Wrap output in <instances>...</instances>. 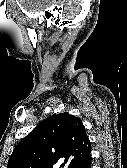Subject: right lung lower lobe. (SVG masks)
Returning a JSON list of instances; mask_svg holds the SVG:
<instances>
[{
  "label": "right lung lower lobe",
  "instance_id": "right-lung-lower-lobe-1",
  "mask_svg": "<svg viewBox=\"0 0 127 168\" xmlns=\"http://www.w3.org/2000/svg\"><path fill=\"white\" fill-rule=\"evenodd\" d=\"M75 168H91V156Z\"/></svg>",
  "mask_w": 127,
  "mask_h": 168
}]
</instances>
